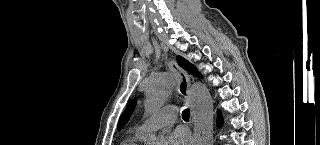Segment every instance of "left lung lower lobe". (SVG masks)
Listing matches in <instances>:
<instances>
[{"instance_id":"obj_1","label":"left lung lower lobe","mask_w":320,"mask_h":145,"mask_svg":"<svg viewBox=\"0 0 320 145\" xmlns=\"http://www.w3.org/2000/svg\"><path fill=\"white\" fill-rule=\"evenodd\" d=\"M217 122H218V123L220 122V117L218 118Z\"/></svg>"}]
</instances>
